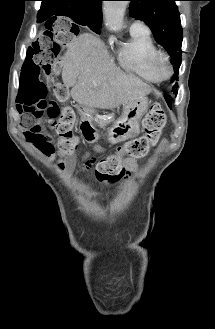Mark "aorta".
<instances>
[{"instance_id": "aorta-1", "label": "aorta", "mask_w": 215, "mask_h": 329, "mask_svg": "<svg viewBox=\"0 0 215 329\" xmlns=\"http://www.w3.org/2000/svg\"><path fill=\"white\" fill-rule=\"evenodd\" d=\"M126 1H105L103 15L105 25L112 31L118 32L123 29V17L126 9Z\"/></svg>"}]
</instances>
